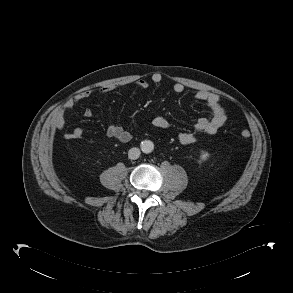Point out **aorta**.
Segmentation results:
<instances>
[{
  "label": "aorta",
  "mask_w": 293,
  "mask_h": 293,
  "mask_svg": "<svg viewBox=\"0 0 293 293\" xmlns=\"http://www.w3.org/2000/svg\"><path fill=\"white\" fill-rule=\"evenodd\" d=\"M140 147H141L142 152L147 154V153H151L153 151L154 144L150 140H144L141 142Z\"/></svg>",
  "instance_id": "aorta-1"
}]
</instances>
